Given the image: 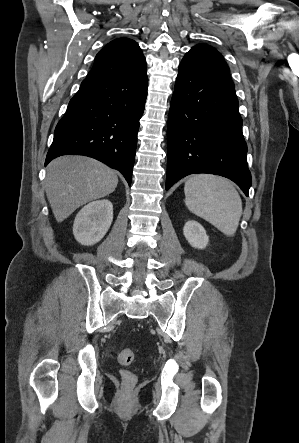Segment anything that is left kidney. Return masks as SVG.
I'll return each mask as SVG.
<instances>
[{
    "mask_svg": "<svg viewBox=\"0 0 299 443\" xmlns=\"http://www.w3.org/2000/svg\"><path fill=\"white\" fill-rule=\"evenodd\" d=\"M183 233L186 240L194 248L204 249L209 242L203 226L194 220H189L185 223Z\"/></svg>",
    "mask_w": 299,
    "mask_h": 443,
    "instance_id": "left-kidney-1",
    "label": "left kidney"
}]
</instances>
